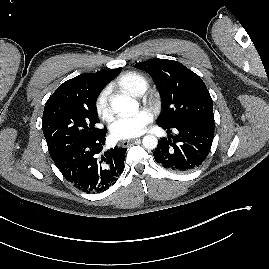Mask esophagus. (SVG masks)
<instances>
[{
	"instance_id": "34e87169",
	"label": "esophagus",
	"mask_w": 269,
	"mask_h": 269,
	"mask_svg": "<svg viewBox=\"0 0 269 269\" xmlns=\"http://www.w3.org/2000/svg\"><path fill=\"white\" fill-rule=\"evenodd\" d=\"M140 142V139L136 138V139H132V140H124L121 142V145L123 147H127L130 143H137Z\"/></svg>"
}]
</instances>
